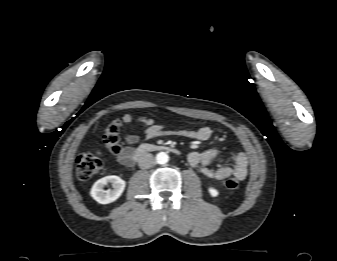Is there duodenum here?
<instances>
[{"label": "duodenum", "mask_w": 337, "mask_h": 261, "mask_svg": "<svg viewBox=\"0 0 337 261\" xmlns=\"http://www.w3.org/2000/svg\"><path fill=\"white\" fill-rule=\"evenodd\" d=\"M155 151H165V152H172L178 154L179 151L171 146L161 145V144H142L139 146L132 156V162H136L141 159L144 155L155 152Z\"/></svg>", "instance_id": "obj_1"}]
</instances>
